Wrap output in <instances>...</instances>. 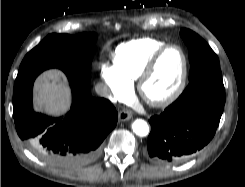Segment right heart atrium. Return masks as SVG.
<instances>
[{
  "label": "right heart atrium",
  "instance_id": "obj_1",
  "mask_svg": "<svg viewBox=\"0 0 245 187\" xmlns=\"http://www.w3.org/2000/svg\"><path fill=\"white\" fill-rule=\"evenodd\" d=\"M99 69L109 98L121 101L129 97L132 86L122 78L115 64L102 60Z\"/></svg>",
  "mask_w": 245,
  "mask_h": 187
}]
</instances>
